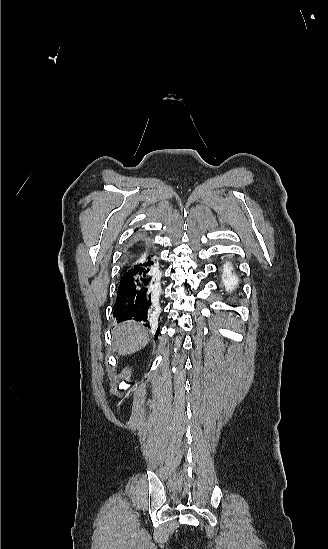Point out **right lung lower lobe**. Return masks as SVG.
I'll list each match as a JSON object with an SVG mask.
<instances>
[{
  "label": "right lung lower lobe",
  "mask_w": 328,
  "mask_h": 549,
  "mask_svg": "<svg viewBox=\"0 0 328 549\" xmlns=\"http://www.w3.org/2000/svg\"><path fill=\"white\" fill-rule=\"evenodd\" d=\"M134 244L127 250L126 261L130 259L129 254L134 250ZM158 287L159 265L154 256L139 259L132 266L126 262L117 290L113 316L118 322L133 319L149 327L153 321L149 315L152 304L151 295ZM159 333L158 327L156 338Z\"/></svg>",
  "instance_id": "1"
}]
</instances>
